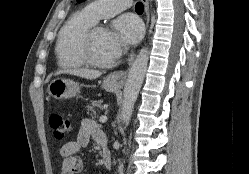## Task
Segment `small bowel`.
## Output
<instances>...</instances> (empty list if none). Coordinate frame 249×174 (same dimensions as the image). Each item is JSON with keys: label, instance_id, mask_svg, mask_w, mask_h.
Segmentation results:
<instances>
[{"label": "small bowel", "instance_id": "small-bowel-1", "mask_svg": "<svg viewBox=\"0 0 249 174\" xmlns=\"http://www.w3.org/2000/svg\"><path fill=\"white\" fill-rule=\"evenodd\" d=\"M90 139L102 144L106 138L96 122L90 119H84L81 122L80 129L74 141L65 143L60 148L62 165L59 174H78L83 172V162L79 157V151L86 147Z\"/></svg>", "mask_w": 249, "mask_h": 174}]
</instances>
